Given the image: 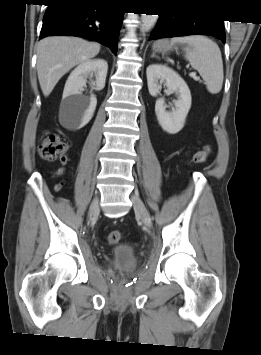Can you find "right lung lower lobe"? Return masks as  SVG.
<instances>
[{
    "label": "right lung lower lobe",
    "instance_id": "obj_1",
    "mask_svg": "<svg viewBox=\"0 0 261 355\" xmlns=\"http://www.w3.org/2000/svg\"><path fill=\"white\" fill-rule=\"evenodd\" d=\"M123 14L97 0H48L40 39L55 35L91 38L116 54Z\"/></svg>",
    "mask_w": 261,
    "mask_h": 355
}]
</instances>
